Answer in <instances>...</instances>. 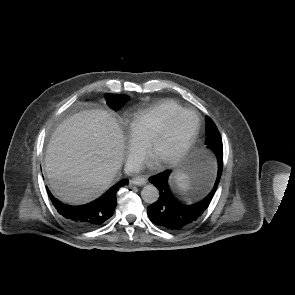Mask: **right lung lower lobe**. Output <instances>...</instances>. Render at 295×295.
<instances>
[{
	"instance_id": "right-lung-lower-lobe-1",
	"label": "right lung lower lobe",
	"mask_w": 295,
	"mask_h": 295,
	"mask_svg": "<svg viewBox=\"0 0 295 295\" xmlns=\"http://www.w3.org/2000/svg\"><path fill=\"white\" fill-rule=\"evenodd\" d=\"M126 184L128 179L121 180L100 198L84 206L62 204L53 197L48 188L47 191L58 213L69 223L81 229H91L98 227L113 215L116 207V192Z\"/></svg>"
}]
</instances>
